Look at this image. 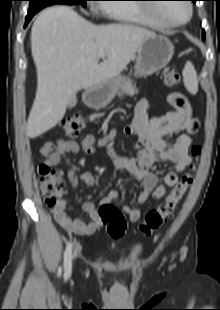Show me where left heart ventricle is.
Here are the masks:
<instances>
[{
    "instance_id": "b2bd125f",
    "label": "left heart ventricle",
    "mask_w": 220,
    "mask_h": 310,
    "mask_svg": "<svg viewBox=\"0 0 220 310\" xmlns=\"http://www.w3.org/2000/svg\"><path fill=\"white\" fill-rule=\"evenodd\" d=\"M156 11L159 16L174 22L182 21L188 15V10L183 3L164 4Z\"/></svg>"
}]
</instances>
